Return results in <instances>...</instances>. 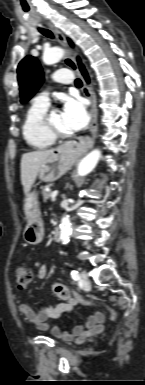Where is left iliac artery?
<instances>
[{
	"label": "left iliac artery",
	"instance_id": "left-iliac-artery-1",
	"mask_svg": "<svg viewBox=\"0 0 145 385\" xmlns=\"http://www.w3.org/2000/svg\"><path fill=\"white\" fill-rule=\"evenodd\" d=\"M71 275H72V278H73L75 281L80 280V275H79L78 271L72 270Z\"/></svg>",
	"mask_w": 145,
	"mask_h": 385
}]
</instances>
